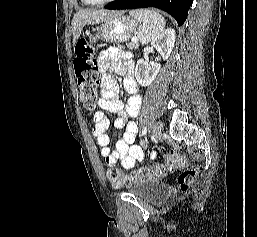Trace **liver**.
<instances>
[{"label": "liver", "mask_w": 257, "mask_h": 237, "mask_svg": "<svg viewBox=\"0 0 257 237\" xmlns=\"http://www.w3.org/2000/svg\"><path fill=\"white\" fill-rule=\"evenodd\" d=\"M119 14L114 11L105 10H81L78 11L72 20L73 45L78 41L85 25L96 24Z\"/></svg>", "instance_id": "liver-1"}]
</instances>
